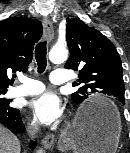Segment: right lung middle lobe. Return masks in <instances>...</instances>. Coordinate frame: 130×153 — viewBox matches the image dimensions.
<instances>
[{
	"label": "right lung middle lobe",
	"mask_w": 130,
	"mask_h": 153,
	"mask_svg": "<svg viewBox=\"0 0 130 153\" xmlns=\"http://www.w3.org/2000/svg\"><path fill=\"white\" fill-rule=\"evenodd\" d=\"M6 92L7 91H0V105L9 106L10 100H7V99L2 97V95L5 94Z\"/></svg>",
	"instance_id": "1"
}]
</instances>
